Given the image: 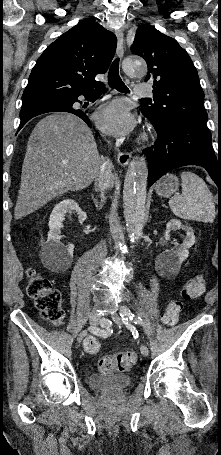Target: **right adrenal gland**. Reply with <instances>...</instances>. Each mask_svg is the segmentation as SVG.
Segmentation results:
<instances>
[{"instance_id":"right-adrenal-gland-1","label":"right adrenal gland","mask_w":221,"mask_h":455,"mask_svg":"<svg viewBox=\"0 0 221 455\" xmlns=\"http://www.w3.org/2000/svg\"><path fill=\"white\" fill-rule=\"evenodd\" d=\"M91 197H92V201H93L95 207H96L97 209L100 210V209L103 207V203H104V201H105L104 194H101V196H100V202L97 200V198L94 197L93 194H92Z\"/></svg>"}]
</instances>
